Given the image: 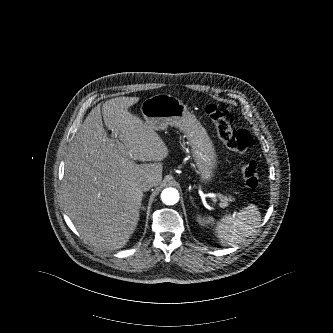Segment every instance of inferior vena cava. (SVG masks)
<instances>
[{
    "mask_svg": "<svg viewBox=\"0 0 333 333\" xmlns=\"http://www.w3.org/2000/svg\"><path fill=\"white\" fill-rule=\"evenodd\" d=\"M153 184H154V180L149 178L148 180H146L143 185H142V188L144 191H148L150 188L153 187Z\"/></svg>",
    "mask_w": 333,
    "mask_h": 333,
    "instance_id": "inferior-vena-cava-1",
    "label": "inferior vena cava"
}]
</instances>
